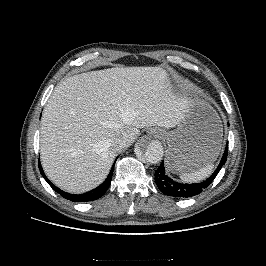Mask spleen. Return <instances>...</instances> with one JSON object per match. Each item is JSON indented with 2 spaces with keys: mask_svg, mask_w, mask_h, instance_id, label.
<instances>
[{
  "mask_svg": "<svg viewBox=\"0 0 266 266\" xmlns=\"http://www.w3.org/2000/svg\"><path fill=\"white\" fill-rule=\"evenodd\" d=\"M214 165L208 164L196 171L188 172V173H182L180 175V178L184 182H199L205 178H207L213 171Z\"/></svg>",
  "mask_w": 266,
  "mask_h": 266,
  "instance_id": "3e777b00",
  "label": "spleen"
}]
</instances>
